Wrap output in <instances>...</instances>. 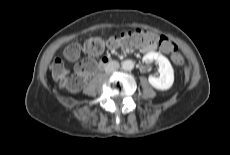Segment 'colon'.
<instances>
[{
    "instance_id": "obj_1",
    "label": "colon",
    "mask_w": 230,
    "mask_h": 155,
    "mask_svg": "<svg viewBox=\"0 0 230 155\" xmlns=\"http://www.w3.org/2000/svg\"><path fill=\"white\" fill-rule=\"evenodd\" d=\"M153 43H157L164 52L172 54L174 61L178 63L179 70L185 69V61L181 60L177 54V46L171 39L164 35L157 36L143 30H135L124 33L119 38H110L106 42L100 38L86 40L83 50L87 54V58L80 62L73 76H68V70L59 58L55 59L51 64V74L54 80L66 89L77 90L82 86L85 78L94 71L96 67L95 57L101 54L106 46L119 45L128 48L134 46L142 47ZM80 53L81 46L78 43H73L66 48L65 57L68 60L75 61L79 59Z\"/></svg>"
}]
</instances>
